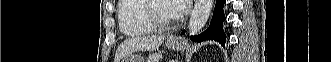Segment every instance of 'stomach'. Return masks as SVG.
<instances>
[{"mask_svg": "<svg viewBox=\"0 0 331 62\" xmlns=\"http://www.w3.org/2000/svg\"><path fill=\"white\" fill-rule=\"evenodd\" d=\"M166 46L172 50H180L182 48V44L179 40L171 41L167 39ZM121 62H145L144 59L138 55H128L122 59Z\"/></svg>", "mask_w": 331, "mask_h": 62, "instance_id": "stomach-1", "label": "stomach"}]
</instances>
